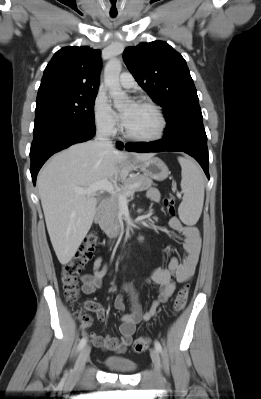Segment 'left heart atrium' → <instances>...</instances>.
<instances>
[{"label":"left heart atrium","mask_w":261,"mask_h":399,"mask_svg":"<svg viewBox=\"0 0 261 399\" xmlns=\"http://www.w3.org/2000/svg\"><path fill=\"white\" fill-rule=\"evenodd\" d=\"M132 105H133V106H135V105H136V103H133ZM122 119H123V121L125 122V121H126V119H127V115H126V114H123V115H122Z\"/></svg>","instance_id":"1"}]
</instances>
